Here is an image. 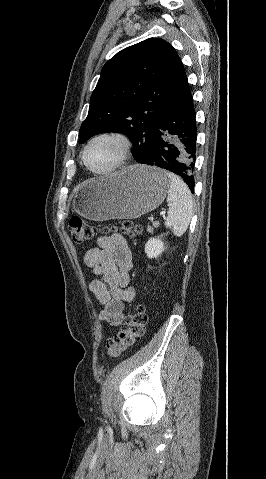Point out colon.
Listing matches in <instances>:
<instances>
[{
  "mask_svg": "<svg viewBox=\"0 0 266 479\" xmlns=\"http://www.w3.org/2000/svg\"><path fill=\"white\" fill-rule=\"evenodd\" d=\"M68 229L72 240L76 244H83L89 241L95 233V228L80 217H72L69 220ZM119 229L123 233L134 237L141 232L142 228L130 220H125L120 224ZM146 323L147 314L143 305L139 304L130 309L121 330L106 340V355L118 358L134 347L137 340L144 335Z\"/></svg>",
  "mask_w": 266,
  "mask_h": 479,
  "instance_id": "obj_1",
  "label": "colon"
}]
</instances>
